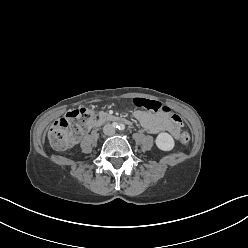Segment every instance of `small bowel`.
Wrapping results in <instances>:
<instances>
[{"instance_id": "c3829d8e", "label": "small bowel", "mask_w": 248, "mask_h": 248, "mask_svg": "<svg viewBox=\"0 0 248 248\" xmlns=\"http://www.w3.org/2000/svg\"><path fill=\"white\" fill-rule=\"evenodd\" d=\"M133 115L151 134L168 132L175 139H178L180 136V124L173 121L172 114L169 112L151 113L148 111L136 110Z\"/></svg>"}]
</instances>
